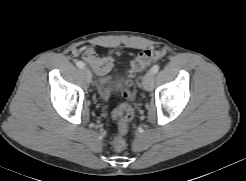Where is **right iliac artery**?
Here are the masks:
<instances>
[{"instance_id": "82829eb1", "label": "right iliac artery", "mask_w": 246, "mask_h": 181, "mask_svg": "<svg viewBox=\"0 0 246 181\" xmlns=\"http://www.w3.org/2000/svg\"><path fill=\"white\" fill-rule=\"evenodd\" d=\"M76 66L79 67V68H84L85 67V64L81 61H78L76 62Z\"/></svg>"}]
</instances>
